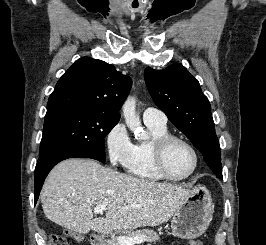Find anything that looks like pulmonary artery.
I'll return each mask as SVG.
<instances>
[{"instance_id": "e3ab8cb5", "label": "pulmonary artery", "mask_w": 266, "mask_h": 245, "mask_svg": "<svg viewBox=\"0 0 266 245\" xmlns=\"http://www.w3.org/2000/svg\"><path fill=\"white\" fill-rule=\"evenodd\" d=\"M143 120L145 123L156 122L160 124H167L166 114L155 107H148L144 109Z\"/></svg>"}]
</instances>
